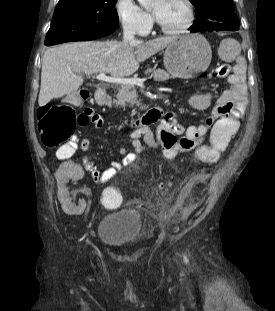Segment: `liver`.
Instances as JSON below:
<instances>
[{"mask_svg":"<svg viewBox=\"0 0 275 311\" xmlns=\"http://www.w3.org/2000/svg\"><path fill=\"white\" fill-rule=\"evenodd\" d=\"M175 38L159 37L133 43L83 41L47 49L42 62L39 106L78 90L83 78L77 73H108L111 77L132 75L140 62L163 50Z\"/></svg>","mask_w":275,"mask_h":311,"instance_id":"liver-1","label":"liver"}]
</instances>
